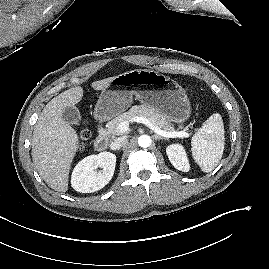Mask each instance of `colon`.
<instances>
[{"mask_svg": "<svg viewBox=\"0 0 269 269\" xmlns=\"http://www.w3.org/2000/svg\"><path fill=\"white\" fill-rule=\"evenodd\" d=\"M90 131L86 127H82L79 131V146L80 148H83L85 143L88 141L90 138Z\"/></svg>", "mask_w": 269, "mask_h": 269, "instance_id": "obj_1", "label": "colon"}]
</instances>
